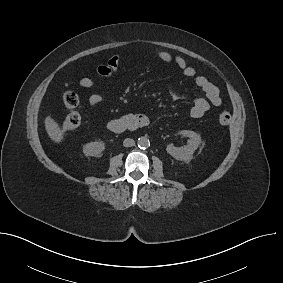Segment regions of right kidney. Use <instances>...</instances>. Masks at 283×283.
<instances>
[{"label":"right kidney","mask_w":283,"mask_h":283,"mask_svg":"<svg viewBox=\"0 0 283 283\" xmlns=\"http://www.w3.org/2000/svg\"><path fill=\"white\" fill-rule=\"evenodd\" d=\"M105 150L103 142H90L83 146V153L86 156H99Z\"/></svg>","instance_id":"right-kidney-1"}]
</instances>
